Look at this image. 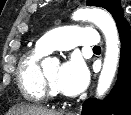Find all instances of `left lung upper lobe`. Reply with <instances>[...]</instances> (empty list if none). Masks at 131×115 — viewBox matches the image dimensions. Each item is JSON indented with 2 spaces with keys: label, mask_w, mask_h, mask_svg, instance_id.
I'll list each match as a JSON object with an SVG mask.
<instances>
[{
  "label": "left lung upper lobe",
  "mask_w": 131,
  "mask_h": 115,
  "mask_svg": "<svg viewBox=\"0 0 131 115\" xmlns=\"http://www.w3.org/2000/svg\"><path fill=\"white\" fill-rule=\"evenodd\" d=\"M87 5L105 8L112 14L117 25L124 19L120 0H87Z\"/></svg>",
  "instance_id": "5c2ea615"
}]
</instances>
